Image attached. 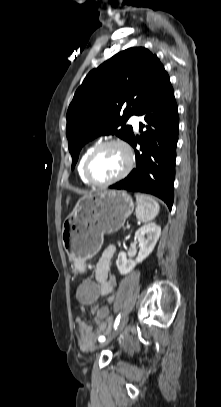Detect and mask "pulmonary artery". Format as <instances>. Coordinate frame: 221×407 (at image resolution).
Returning <instances> with one entry per match:
<instances>
[{"label": "pulmonary artery", "mask_w": 221, "mask_h": 407, "mask_svg": "<svg viewBox=\"0 0 221 407\" xmlns=\"http://www.w3.org/2000/svg\"><path fill=\"white\" fill-rule=\"evenodd\" d=\"M129 121L135 129H138L140 122V118L138 116H132Z\"/></svg>", "instance_id": "1"}]
</instances>
